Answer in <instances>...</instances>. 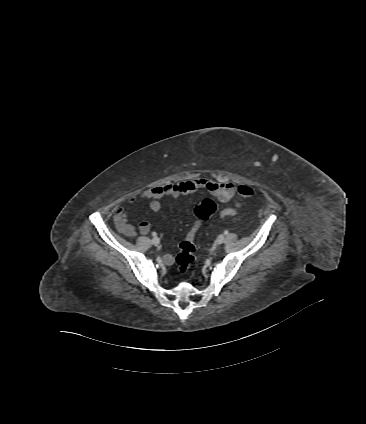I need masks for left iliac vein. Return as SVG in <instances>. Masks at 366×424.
<instances>
[{
	"instance_id": "left-iliac-vein-1",
	"label": "left iliac vein",
	"mask_w": 366,
	"mask_h": 424,
	"mask_svg": "<svg viewBox=\"0 0 366 424\" xmlns=\"http://www.w3.org/2000/svg\"><path fill=\"white\" fill-rule=\"evenodd\" d=\"M224 240H225L224 235H219V236L217 237V239H216V243H217L218 245H220V244H222V243L224 242Z\"/></svg>"
}]
</instances>
